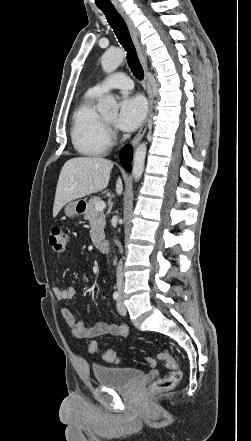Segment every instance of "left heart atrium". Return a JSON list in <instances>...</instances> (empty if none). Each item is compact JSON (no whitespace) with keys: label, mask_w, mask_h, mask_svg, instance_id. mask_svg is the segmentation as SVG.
<instances>
[{"label":"left heart atrium","mask_w":251,"mask_h":441,"mask_svg":"<svg viewBox=\"0 0 251 441\" xmlns=\"http://www.w3.org/2000/svg\"><path fill=\"white\" fill-rule=\"evenodd\" d=\"M146 114V103L140 96L125 97L120 103L116 126L122 131L135 130L143 121Z\"/></svg>","instance_id":"1"}]
</instances>
